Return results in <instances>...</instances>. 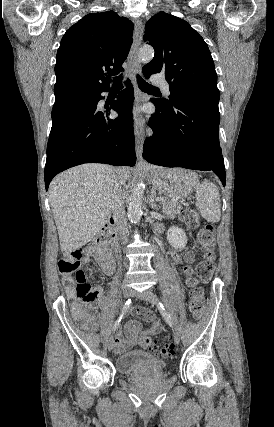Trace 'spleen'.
<instances>
[{
	"mask_svg": "<svg viewBox=\"0 0 274 427\" xmlns=\"http://www.w3.org/2000/svg\"><path fill=\"white\" fill-rule=\"evenodd\" d=\"M196 200L197 210H199L202 217H205L211 223L219 221L221 217L220 196L217 186L213 182L204 180L202 184L197 186Z\"/></svg>",
	"mask_w": 274,
	"mask_h": 427,
	"instance_id": "spleen-1",
	"label": "spleen"
}]
</instances>
